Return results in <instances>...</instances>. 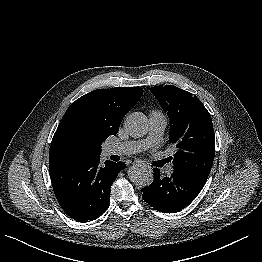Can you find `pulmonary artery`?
<instances>
[{
    "mask_svg": "<svg viewBox=\"0 0 262 262\" xmlns=\"http://www.w3.org/2000/svg\"><path fill=\"white\" fill-rule=\"evenodd\" d=\"M166 125L167 119L164 114L160 112H152L149 115V136L146 140L114 143L106 148V153L108 155H130L138 153L146 149L148 146L158 143L163 135ZM173 170L172 166H168L165 172L167 175H171Z\"/></svg>",
    "mask_w": 262,
    "mask_h": 262,
    "instance_id": "1",
    "label": "pulmonary artery"
}]
</instances>
